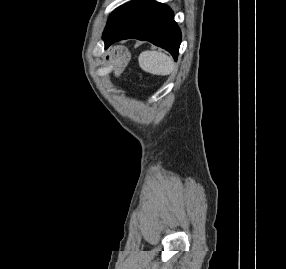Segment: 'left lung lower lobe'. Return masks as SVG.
Wrapping results in <instances>:
<instances>
[{"mask_svg": "<svg viewBox=\"0 0 286 269\" xmlns=\"http://www.w3.org/2000/svg\"><path fill=\"white\" fill-rule=\"evenodd\" d=\"M150 41L169 51L177 59L181 32L172 10L154 0H143L123 17L115 27L104 31L105 48L123 39Z\"/></svg>", "mask_w": 286, "mask_h": 269, "instance_id": "left-lung-lower-lobe-1", "label": "left lung lower lobe"}]
</instances>
